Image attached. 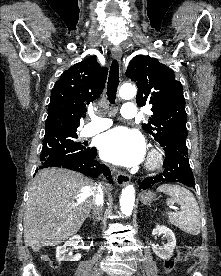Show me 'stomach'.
<instances>
[{"mask_svg": "<svg viewBox=\"0 0 221 276\" xmlns=\"http://www.w3.org/2000/svg\"><path fill=\"white\" fill-rule=\"evenodd\" d=\"M155 199V194L152 192H145L141 196V202L144 204H150Z\"/></svg>", "mask_w": 221, "mask_h": 276, "instance_id": "0dacf381", "label": "stomach"}]
</instances>
